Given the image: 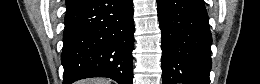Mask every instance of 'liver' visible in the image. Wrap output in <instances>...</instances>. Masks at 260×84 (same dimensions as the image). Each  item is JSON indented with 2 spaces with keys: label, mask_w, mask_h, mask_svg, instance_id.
Returning <instances> with one entry per match:
<instances>
[{
  "label": "liver",
  "mask_w": 260,
  "mask_h": 84,
  "mask_svg": "<svg viewBox=\"0 0 260 84\" xmlns=\"http://www.w3.org/2000/svg\"><path fill=\"white\" fill-rule=\"evenodd\" d=\"M111 81L105 78H92L80 81L79 84H110Z\"/></svg>",
  "instance_id": "6515ba94"
}]
</instances>
